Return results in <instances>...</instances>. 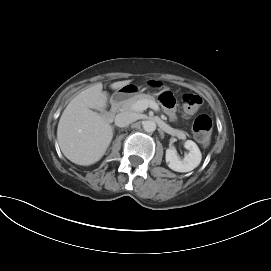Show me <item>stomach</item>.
I'll use <instances>...</instances> for the list:
<instances>
[{"label":"stomach","mask_w":271,"mask_h":271,"mask_svg":"<svg viewBox=\"0 0 271 271\" xmlns=\"http://www.w3.org/2000/svg\"><path fill=\"white\" fill-rule=\"evenodd\" d=\"M139 87L134 84H127L119 88L113 95V100H123L137 94Z\"/></svg>","instance_id":"obj_1"}]
</instances>
